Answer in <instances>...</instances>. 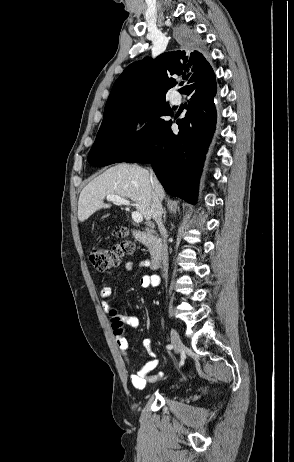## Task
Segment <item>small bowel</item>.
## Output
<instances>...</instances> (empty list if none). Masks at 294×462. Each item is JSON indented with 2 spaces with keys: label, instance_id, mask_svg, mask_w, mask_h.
<instances>
[{
  "label": "small bowel",
  "instance_id": "c3829d8e",
  "mask_svg": "<svg viewBox=\"0 0 294 462\" xmlns=\"http://www.w3.org/2000/svg\"><path fill=\"white\" fill-rule=\"evenodd\" d=\"M134 266L135 265L133 262H128L125 265V270L128 272L132 271ZM139 266L151 267V261L145 260L141 262ZM160 281L161 279L158 275H145L141 278L140 284L142 287H157L159 286ZM112 292L113 289L111 284L104 280L100 290L101 297L108 298L112 295ZM103 308L109 314L112 312V310H114L113 305L108 301L103 302ZM117 316L121 319L123 324H127L134 328L138 327L139 325V319L137 317L131 316L127 310L123 311L122 313H117ZM114 335L121 353L125 356L126 364L130 365V359L128 358L129 342L123 335V330H114ZM142 344L151 359L148 360L138 371L133 372L130 375L131 383L137 389H142L146 386L147 383H153L163 376V372L152 374V372L158 366V359L156 358V354L153 351L151 341L149 339H145L143 340Z\"/></svg>",
  "mask_w": 294,
  "mask_h": 462
}]
</instances>
